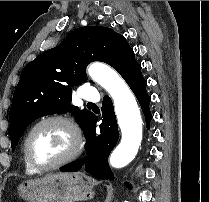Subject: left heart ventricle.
I'll return each mask as SVG.
<instances>
[{
  "label": "left heart ventricle",
  "mask_w": 209,
  "mask_h": 202,
  "mask_svg": "<svg viewBox=\"0 0 209 202\" xmlns=\"http://www.w3.org/2000/svg\"><path fill=\"white\" fill-rule=\"evenodd\" d=\"M72 139L65 127L58 123L40 126L30 139V153L35 162L48 165L66 155Z\"/></svg>",
  "instance_id": "left-heart-ventricle-1"
}]
</instances>
